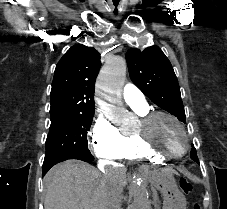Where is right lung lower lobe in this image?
<instances>
[{
	"label": "right lung lower lobe",
	"instance_id": "98d812e1",
	"mask_svg": "<svg viewBox=\"0 0 227 209\" xmlns=\"http://www.w3.org/2000/svg\"><path fill=\"white\" fill-rule=\"evenodd\" d=\"M68 159H78V160H82V161H85V162H91L94 160V157L92 155H63V156H60V157H56L54 159H52L50 161V165H49V169L59 163V162H62V161H65V160H68ZM48 169V170H49ZM47 172V171H46ZM45 171H43V175L46 173Z\"/></svg>",
	"mask_w": 227,
	"mask_h": 209
}]
</instances>
